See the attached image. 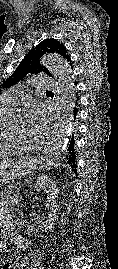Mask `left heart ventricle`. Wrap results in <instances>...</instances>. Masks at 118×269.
<instances>
[{"mask_svg":"<svg viewBox=\"0 0 118 269\" xmlns=\"http://www.w3.org/2000/svg\"><path fill=\"white\" fill-rule=\"evenodd\" d=\"M13 132L17 135L24 137L26 133L25 120L23 118H18L13 124Z\"/></svg>","mask_w":118,"mask_h":269,"instance_id":"b2bd125f","label":"left heart ventricle"}]
</instances>
